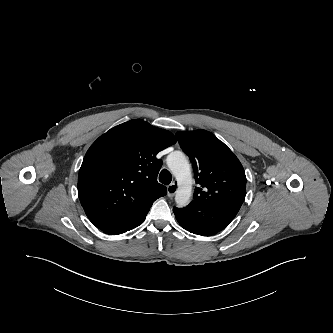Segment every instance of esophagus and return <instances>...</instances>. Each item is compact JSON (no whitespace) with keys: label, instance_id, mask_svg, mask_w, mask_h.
<instances>
[{"label":"esophagus","instance_id":"34e87169","mask_svg":"<svg viewBox=\"0 0 333 333\" xmlns=\"http://www.w3.org/2000/svg\"><path fill=\"white\" fill-rule=\"evenodd\" d=\"M177 187L175 182L171 183L168 187H167V195L168 197L172 198L175 193H176Z\"/></svg>","mask_w":333,"mask_h":333}]
</instances>
